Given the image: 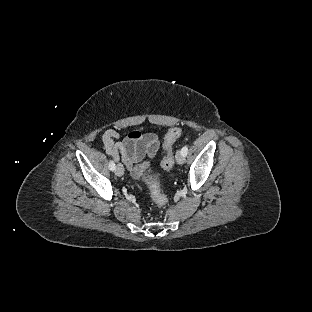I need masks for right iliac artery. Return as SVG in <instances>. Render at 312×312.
<instances>
[{
  "label": "right iliac artery",
  "instance_id": "1",
  "mask_svg": "<svg viewBox=\"0 0 312 312\" xmlns=\"http://www.w3.org/2000/svg\"><path fill=\"white\" fill-rule=\"evenodd\" d=\"M109 169H110L111 171H114V170H115V163H114L113 161H110V163H109Z\"/></svg>",
  "mask_w": 312,
  "mask_h": 312
}]
</instances>
